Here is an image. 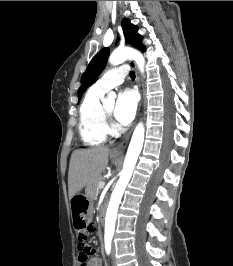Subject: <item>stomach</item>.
Returning a JSON list of instances; mask_svg holds the SVG:
<instances>
[{"instance_id":"0dacf381","label":"stomach","mask_w":233,"mask_h":266,"mask_svg":"<svg viewBox=\"0 0 233 266\" xmlns=\"http://www.w3.org/2000/svg\"><path fill=\"white\" fill-rule=\"evenodd\" d=\"M88 201H90L88 194H73L71 209L75 221L72 223V228H75V232H86L88 225H94V220H90L88 216Z\"/></svg>"}]
</instances>
